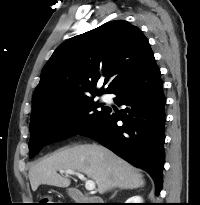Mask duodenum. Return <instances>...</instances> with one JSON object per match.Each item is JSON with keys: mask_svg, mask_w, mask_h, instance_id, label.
I'll return each mask as SVG.
<instances>
[{"mask_svg": "<svg viewBox=\"0 0 200 205\" xmlns=\"http://www.w3.org/2000/svg\"><path fill=\"white\" fill-rule=\"evenodd\" d=\"M69 195L72 200H74L77 203L81 204H95L99 201L96 197H88L85 194H83L79 189L71 188L69 190Z\"/></svg>", "mask_w": 200, "mask_h": 205, "instance_id": "410a0bca", "label": "duodenum"}]
</instances>
